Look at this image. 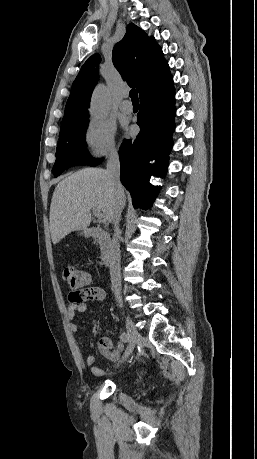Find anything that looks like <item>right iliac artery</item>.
<instances>
[{"instance_id":"obj_1","label":"right iliac artery","mask_w":257,"mask_h":459,"mask_svg":"<svg viewBox=\"0 0 257 459\" xmlns=\"http://www.w3.org/2000/svg\"><path fill=\"white\" fill-rule=\"evenodd\" d=\"M120 339H121L122 342L127 343V342H129V335H128L127 333L123 332V333L120 335ZM128 352H129V350H127V351L125 352V355H127Z\"/></svg>"}]
</instances>
